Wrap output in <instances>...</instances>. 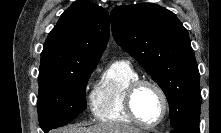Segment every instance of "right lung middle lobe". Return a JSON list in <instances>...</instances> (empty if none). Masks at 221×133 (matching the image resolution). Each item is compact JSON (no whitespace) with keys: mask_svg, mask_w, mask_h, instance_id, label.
Wrapping results in <instances>:
<instances>
[{"mask_svg":"<svg viewBox=\"0 0 221 133\" xmlns=\"http://www.w3.org/2000/svg\"><path fill=\"white\" fill-rule=\"evenodd\" d=\"M96 66L82 63L39 72L38 116L45 133L66 125L86 109L85 87Z\"/></svg>","mask_w":221,"mask_h":133,"instance_id":"1","label":"right lung middle lobe"}]
</instances>
